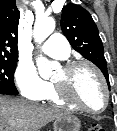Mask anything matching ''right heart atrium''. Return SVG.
I'll return each instance as SVG.
<instances>
[{"label": "right heart atrium", "instance_id": "d8ad5b80", "mask_svg": "<svg viewBox=\"0 0 117 131\" xmlns=\"http://www.w3.org/2000/svg\"><path fill=\"white\" fill-rule=\"evenodd\" d=\"M15 83L21 95L30 100H41L49 86L28 63L18 64Z\"/></svg>", "mask_w": 117, "mask_h": 131}]
</instances>
